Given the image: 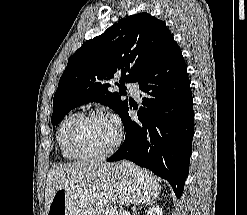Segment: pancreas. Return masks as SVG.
I'll use <instances>...</instances> for the list:
<instances>
[{
	"instance_id": "1",
	"label": "pancreas",
	"mask_w": 247,
	"mask_h": 215,
	"mask_svg": "<svg viewBox=\"0 0 247 215\" xmlns=\"http://www.w3.org/2000/svg\"><path fill=\"white\" fill-rule=\"evenodd\" d=\"M105 215H123V212L116 210H106Z\"/></svg>"
}]
</instances>
